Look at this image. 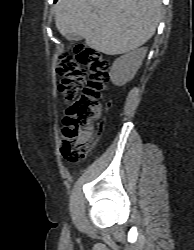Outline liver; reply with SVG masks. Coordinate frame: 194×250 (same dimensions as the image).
<instances>
[{"label":"liver","instance_id":"obj_1","mask_svg":"<svg viewBox=\"0 0 194 250\" xmlns=\"http://www.w3.org/2000/svg\"><path fill=\"white\" fill-rule=\"evenodd\" d=\"M55 24L63 36L80 35L107 55H119L145 44L161 17V0H58Z\"/></svg>","mask_w":194,"mask_h":250}]
</instances>
